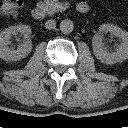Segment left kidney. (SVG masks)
Masks as SVG:
<instances>
[{"instance_id": "left-kidney-1", "label": "left kidney", "mask_w": 128, "mask_h": 128, "mask_svg": "<svg viewBox=\"0 0 128 128\" xmlns=\"http://www.w3.org/2000/svg\"><path fill=\"white\" fill-rule=\"evenodd\" d=\"M99 34H96L92 39V47L95 57L105 64H114L117 62H123L128 59V32L114 24H102L99 28ZM109 32L112 35L121 39V43L118 44L114 51L109 52L104 47L102 42L101 33Z\"/></svg>"}]
</instances>
